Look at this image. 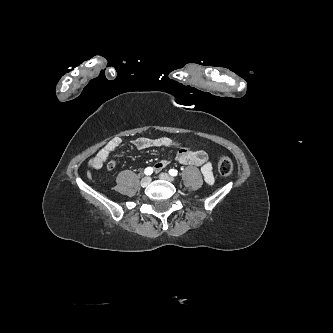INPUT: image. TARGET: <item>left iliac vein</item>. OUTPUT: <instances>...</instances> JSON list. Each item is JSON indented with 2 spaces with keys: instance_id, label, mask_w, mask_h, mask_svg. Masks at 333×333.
I'll return each mask as SVG.
<instances>
[{
  "instance_id": "left-iliac-vein-1",
  "label": "left iliac vein",
  "mask_w": 333,
  "mask_h": 333,
  "mask_svg": "<svg viewBox=\"0 0 333 333\" xmlns=\"http://www.w3.org/2000/svg\"><path fill=\"white\" fill-rule=\"evenodd\" d=\"M159 178L162 180L169 181V182H172L174 180V178L172 176H170L168 173H161L159 175Z\"/></svg>"
}]
</instances>
